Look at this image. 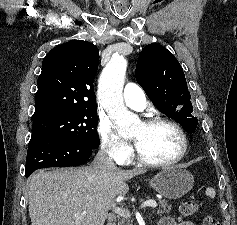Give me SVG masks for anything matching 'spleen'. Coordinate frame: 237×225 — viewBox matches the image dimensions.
<instances>
[{
	"instance_id": "1",
	"label": "spleen",
	"mask_w": 237,
	"mask_h": 225,
	"mask_svg": "<svg viewBox=\"0 0 237 225\" xmlns=\"http://www.w3.org/2000/svg\"><path fill=\"white\" fill-rule=\"evenodd\" d=\"M205 194L209 196L210 198L215 197V190L213 188H207L205 191Z\"/></svg>"
}]
</instances>
